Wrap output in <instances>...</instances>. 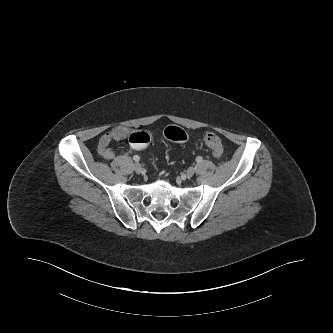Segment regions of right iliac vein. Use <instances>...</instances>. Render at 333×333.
Wrapping results in <instances>:
<instances>
[{"label":"right iliac vein","instance_id":"right-iliac-vein-1","mask_svg":"<svg viewBox=\"0 0 333 333\" xmlns=\"http://www.w3.org/2000/svg\"><path fill=\"white\" fill-rule=\"evenodd\" d=\"M134 169H135L136 173H141V171H142V167L139 163L134 164Z\"/></svg>","mask_w":333,"mask_h":333}]
</instances>
